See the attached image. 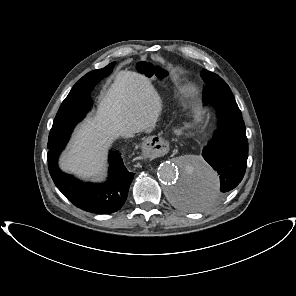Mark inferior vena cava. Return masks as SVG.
I'll use <instances>...</instances> for the list:
<instances>
[{
  "mask_svg": "<svg viewBox=\"0 0 296 296\" xmlns=\"http://www.w3.org/2000/svg\"><path fill=\"white\" fill-rule=\"evenodd\" d=\"M136 132L133 129H123L119 132V135L124 138L133 137Z\"/></svg>",
  "mask_w": 296,
  "mask_h": 296,
  "instance_id": "obj_1",
  "label": "inferior vena cava"
}]
</instances>
